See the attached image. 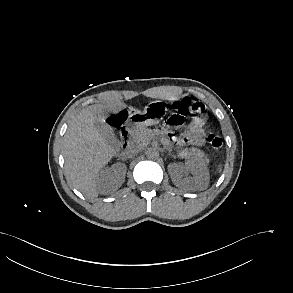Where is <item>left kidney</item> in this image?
Wrapping results in <instances>:
<instances>
[{
	"label": "left kidney",
	"instance_id": "1",
	"mask_svg": "<svg viewBox=\"0 0 293 293\" xmlns=\"http://www.w3.org/2000/svg\"><path fill=\"white\" fill-rule=\"evenodd\" d=\"M170 175L177 187H190L195 190H204L209 184V171L203 162L188 160L185 164L174 163L169 165ZM190 172L192 178H183L182 173Z\"/></svg>",
	"mask_w": 293,
	"mask_h": 293
}]
</instances>
